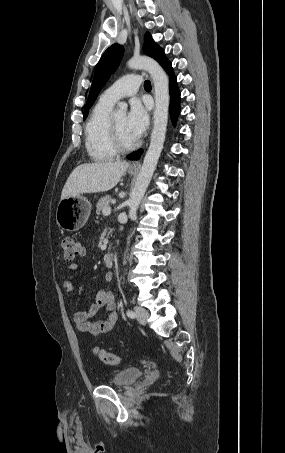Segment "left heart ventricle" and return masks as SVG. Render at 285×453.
<instances>
[{
    "label": "left heart ventricle",
    "instance_id": "1",
    "mask_svg": "<svg viewBox=\"0 0 285 453\" xmlns=\"http://www.w3.org/2000/svg\"><path fill=\"white\" fill-rule=\"evenodd\" d=\"M126 116L127 115L125 113H118L114 116V119H115V122L118 127L122 140L125 143L130 144V143H133L134 141H136L137 139L131 135V133L129 132V130L127 128Z\"/></svg>",
    "mask_w": 285,
    "mask_h": 453
}]
</instances>
